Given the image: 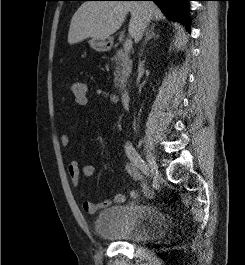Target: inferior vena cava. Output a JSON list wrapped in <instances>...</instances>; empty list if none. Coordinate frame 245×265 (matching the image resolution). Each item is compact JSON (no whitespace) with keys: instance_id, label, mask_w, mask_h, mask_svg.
Listing matches in <instances>:
<instances>
[{"instance_id":"obj_1","label":"inferior vena cava","mask_w":245,"mask_h":265,"mask_svg":"<svg viewBox=\"0 0 245 265\" xmlns=\"http://www.w3.org/2000/svg\"><path fill=\"white\" fill-rule=\"evenodd\" d=\"M150 20H151V16L149 14H145V17H144V23H143V26H142V30H141V37L143 36V33L146 31L149 23H150Z\"/></svg>"}]
</instances>
